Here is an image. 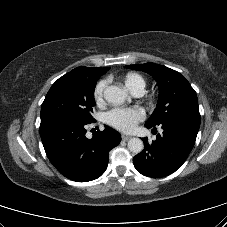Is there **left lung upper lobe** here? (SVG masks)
<instances>
[{
	"label": "left lung upper lobe",
	"instance_id": "5c2ea615",
	"mask_svg": "<svg viewBox=\"0 0 227 227\" xmlns=\"http://www.w3.org/2000/svg\"><path fill=\"white\" fill-rule=\"evenodd\" d=\"M125 67L145 71L157 81L159 87L157 106L145 126H156L171 119H200L196 92L182 74L155 63Z\"/></svg>",
	"mask_w": 227,
	"mask_h": 227
}]
</instances>
